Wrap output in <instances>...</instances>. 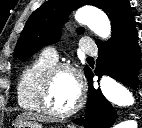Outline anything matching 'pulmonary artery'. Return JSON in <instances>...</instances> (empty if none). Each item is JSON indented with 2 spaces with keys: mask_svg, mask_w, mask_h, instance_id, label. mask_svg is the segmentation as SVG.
Segmentation results:
<instances>
[{
  "mask_svg": "<svg viewBox=\"0 0 142 128\" xmlns=\"http://www.w3.org/2000/svg\"><path fill=\"white\" fill-rule=\"evenodd\" d=\"M80 49L83 53L87 55H96L97 54V47L95 43L90 40L89 38H83L80 41ZM41 55L46 57L47 59L56 62L58 60V53L55 48L53 47H46Z\"/></svg>",
  "mask_w": 142,
  "mask_h": 128,
  "instance_id": "pulmonary-artery-1",
  "label": "pulmonary artery"
}]
</instances>
